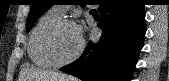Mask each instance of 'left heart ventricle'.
<instances>
[{"instance_id": "left-heart-ventricle-1", "label": "left heart ventricle", "mask_w": 169, "mask_h": 81, "mask_svg": "<svg viewBox=\"0 0 169 81\" xmlns=\"http://www.w3.org/2000/svg\"><path fill=\"white\" fill-rule=\"evenodd\" d=\"M80 42L76 27L64 26L56 34L54 49L60 59H67L78 50Z\"/></svg>"}]
</instances>
